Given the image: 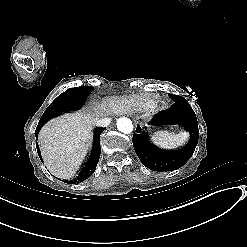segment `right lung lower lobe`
<instances>
[{
	"label": "right lung lower lobe",
	"instance_id": "obj_1",
	"mask_svg": "<svg viewBox=\"0 0 247 247\" xmlns=\"http://www.w3.org/2000/svg\"><path fill=\"white\" fill-rule=\"evenodd\" d=\"M47 120H48V118H42V117L39 120V123L37 125L36 130H35L36 139L38 137V133H39L40 129L43 127V125L46 123ZM103 130H104V128H97L94 130V142H93L92 151L90 153V156H89L87 162L85 163V166L82 168L81 172L79 173V176L74 180V183H79L85 179H88L94 173L96 166H97V163H98L99 158H100V153H101L100 134L102 133ZM36 147H37L38 155H39L40 159L42 160L39 147L37 145H36ZM68 183H70V182H68Z\"/></svg>",
	"mask_w": 247,
	"mask_h": 247
}]
</instances>
